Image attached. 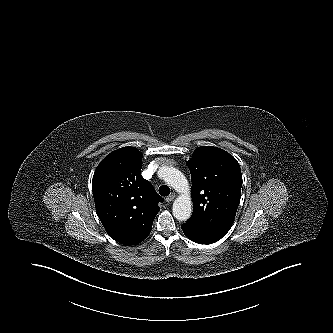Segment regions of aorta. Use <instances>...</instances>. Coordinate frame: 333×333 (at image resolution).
Returning a JSON list of instances; mask_svg holds the SVG:
<instances>
[{
  "label": "aorta",
  "instance_id": "aorta-1",
  "mask_svg": "<svg viewBox=\"0 0 333 333\" xmlns=\"http://www.w3.org/2000/svg\"><path fill=\"white\" fill-rule=\"evenodd\" d=\"M164 181L181 195L174 201L172 207L173 216L179 221H186L192 213V201L189 195V184L186 177L176 168L162 167Z\"/></svg>",
  "mask_w": 333,
  "mask_h": 333
}]
</instances>
